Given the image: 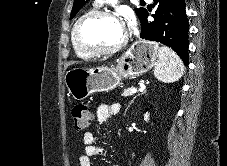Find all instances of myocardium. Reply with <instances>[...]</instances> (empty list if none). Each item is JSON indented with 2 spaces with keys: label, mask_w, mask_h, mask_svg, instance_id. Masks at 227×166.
I'll list each match as a JSON object with an SVG mask.
<instances>
[{
  "label": "myocardium",
  "mask_w": 227,
  "mask_h": 166,
  "mask_svg": "<svg viewBox=\"0 0 227 166\" xmlns=\"http://www.w3.org/2000/svg\"><path fill=\"white\" fill-rule=\"evenodd\" d=\"M97 18H111L115 20H119L123 22V19L120 14L108 11V10H95L91 11L84 16H82L75 24V27L73 29V43L76 46V48L89 56H104V55H110L113 53L118 52L122 48H124L128 42V34L126 33L125 38L122 42L117 44L116 46H113L111 48H98V47H92L83 42V40L80 37V31L81 28L89 21L97 19Z\"/></svg>",
  "instance_id": "obj_1"
}]
</instances>
